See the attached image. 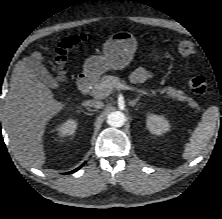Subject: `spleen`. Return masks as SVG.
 Wrapping results in <instances>:
<instances>
[{
	"label": "spleen",
	"instance_id": "spleen-1",
	"mask_svg": "<svg viewBox=\"0 0 222 219\" xmlns=\"http://www.w3.org/2000/svg\"><path fill=\"white\" fill-rule=\"evenodd\" d=\"M219 114V109L216 106L208 108L203 113L201 122L198 124L190 137V142L184 147V152L182 155L184 159L194 158L203 148L207 146L210 139L214 135Z\"/></svg>",
	"mask_w": 222,
	"mask_h": 219
}]
</instances>
